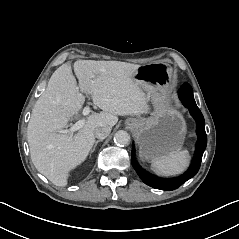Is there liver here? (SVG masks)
<instances>
[{"mask_svg":"<svg viewBox=\"0 0 239 239\" xmlns=\"http://www.w3.org/2000/svg\"><path fill=\"white\" fill-rule=\"evenodd\" d=\"M141 65L122 61L85 60L74 62L81 88L98 97L94 103L104 112L91 113L74 139L62 134L71 119L79 115L84 97L78 91L72 65H61L35 103L27 127V142L37 171L54 185L66 187L71 172L86 162L95 144V129L113 127L117 116L153 114L162 89L137 79Z\"/></svg>","mask_w":239,"mask_h":239,"instance_id":"obj_1","label":"liver"}]
</instances>
